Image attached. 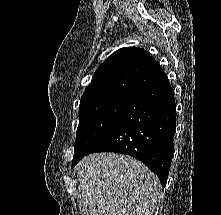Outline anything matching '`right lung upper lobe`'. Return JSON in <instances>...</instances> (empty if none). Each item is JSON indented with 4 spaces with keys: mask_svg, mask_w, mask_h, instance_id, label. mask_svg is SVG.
Here are the masks:
<instances>
[{
    "mask_svg": "<svg viewBox=\"0 0 221 215\" xmlns=\"http://www.w3.org/2000/svg\"><path fill=\"white\" fill-rule=\"evenodd\" d=\"M166 77L144 49L121 48L97 68L80 104L109 97L133 99Z\"/></svg>",
    "mask_w": 221,
    "mask_h": 215,
    "instance_id": "right-lung-upper-lobe-1",
    "label": "right lung upper lobe"
}]
</instances>
